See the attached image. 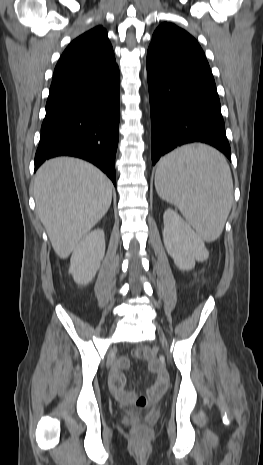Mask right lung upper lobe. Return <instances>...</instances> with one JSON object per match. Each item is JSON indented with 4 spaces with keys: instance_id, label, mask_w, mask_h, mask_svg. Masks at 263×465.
Listing matches in <instances>:
<instances>
[{
    "instance_id": "right-lung-upper-lobe-1",
    "label": "right lung upper lobe",
    "mask_w": 263,
    "mask_h": 465,
    "mask_svg": "<svg viewBox=\"0 0 263 465\" xmlns=\"http://www.w3.org/2000/svg\"><path fill=\"white\" fill-rule=\"evenodd\" d=\"M118 69L111 43L97 26L73 40L60 57L51 87L108 75Z\"/></svg>"
}]
</instances>
